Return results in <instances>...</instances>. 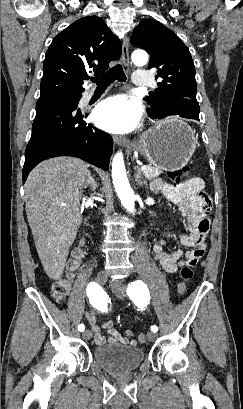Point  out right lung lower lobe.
<instances>
[{"label": "right lung lower lobe", "instance_id": "obj_1", "mask_svg": "<svg viewBox=\"0 0 243 409\" xmlns=\"http://www.w3.org/2000/svg\"><path fill=\"white\" fill-rule=\"evenodd\" d=\"M80 98L73 102L37 101L32 135L25 151L23 182L38 163L57 156L78 157L108 170L112 137L82 120Z\"/></svg>", "mask_w": 243, "mask_h": 409}]
</instances>
